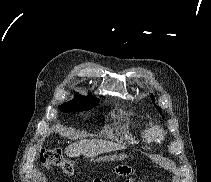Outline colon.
I'll return each mask as SVG.
<instances>
[{"instance_id":"1","label":"colon","mask_w":211,"mask_h":182,"mask_svg":"<svg viewBox=\"0 0 211 182\" xmlns=\"http://www.w3.org/2000/svg\"><path fill=\"white\" fill-rule=\"evenodd\" d=\"M39 158L46 167L55 165L60 167L66 174L74 175L76 173L75 163L64 157L63 153L59 150L42 149L39 153ZM116 172L122 177H126L129 174H132V177L134 176L133 169L129 167H117ZM133 179L134 182H140L136 178Z\"/></svg>"}]
</instances>
